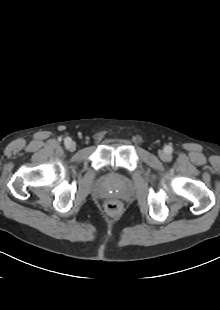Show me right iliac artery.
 I'll use <instances>...</instances> for the list:
<instances>
[{"mask_svg":"<svg viewBox=\"0 0 220 310\" xmlns=\"http://www.w3.org/2000/svg\"><path fill=\"white\" fill-rule=\"evenodd\" d=\"M71 141V139L69 137L65 138L64 142L65 144H68Z\"/></svg>","mask_w":220,"mask_h":310,"instance_id":"right-iliac-artery-1","label":"right iliac artery"}]
</instances>
